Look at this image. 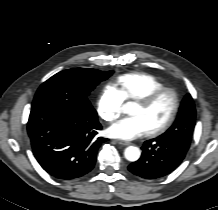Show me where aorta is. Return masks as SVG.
<instances>
[{"mask_svg": "<svg viewBox=\"0 0 218 210\" xmlns=\"http://www.w3.org/2000/svg\"><path fill=\"white\" fill-rule=\"evenodd\" d=\"M133 106V102H127L123 106V111L129 113ZM141 151L138 147L129 146L124 151V156L128 161L134 162L140 158Z\"/></svg>", "mask_w": 218, "mask_h": 210, "instance_id": "762f6f07", "label": "aorta"}]
</instances>
